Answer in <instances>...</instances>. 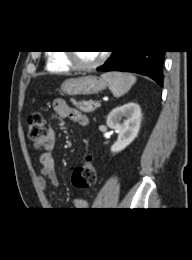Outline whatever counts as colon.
<instances>
[{
	"label": "colon",
	"mask_w": 192,
	"mask_h": 260,
	"mask_svg": "<svg viewBox=\"0 0 192 260\" xmlns=\"http://www.w3.org/2000/svg\"><path fill=\"white\" fill-rule=\"evenodd\" d=\"M28 137L34 148L40 150L45 148L47 142V130L44 117L39 112H34L28 117ZM96 167L91 159L78 166L72 175L73 185L77 188L86 189L96 182Z\"/></svg>",
	"instance_id": "5ec220e1"
}]
</instances>
